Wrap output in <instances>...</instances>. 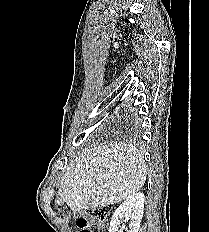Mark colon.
Wrapping results in <instances>:
<instances>
[{
	"mask_svg": "<svg viewBox=\"0 0 209 232\" xmlns=\"http://www.w3.org/2000/svg\"><path fill=\"white\" fill-rule=\"evenodd\" d=\"M110 209L107 207L93 208L76 215L80 232H104Z\"/></svg>",
	"mask_w": 209,
	"mask_h": 232,
	"instance_id": "colon-1",
	"label": "colon"
}]
</instances>
